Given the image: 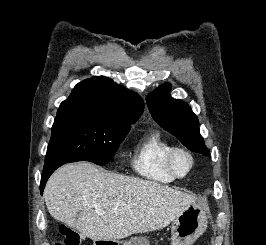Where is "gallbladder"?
Here are the masks:
<instances>
[{"label":"gallbladder","mask_w":266,"mask_h":245,"mask_svg":"<svg viewBox=\"0 0 266 245\" xmlns=\"http://www.w3.org/2000/svg\"><path fill=\"white\" fill-rule=\"evenodd\" d=\"M81 213H77L76 217H80Z\"/></svg>","instance_id":"bac80fb5"}]
</instances>
